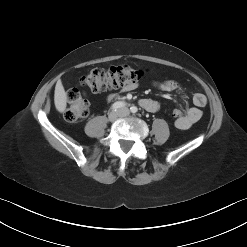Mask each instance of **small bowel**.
Instances as JSON below:
<instances>
[{"label": "small bowel", "instance_id": "small-bowel-1", "mask_svg": "<svg viewBox=\"0 0 247 247\" xmlns=\"http://www.w3.org/2000/svg\"><path fill=\"white\" fill-rule=\"evenodd\" d=\"M154 86L163 92H172L179 89V84L173 80H166L162 82H155ZM137 84H133L123 88V92H128L134 90ZM115 94L110 95L108 98L111 100L115 98ZM193 106L188 108L186 113L176 119L175 126L178 129L186 130L189 129L193 124H195L202 116L201 108L207 103L206 96L202 93H194L192 95ZM140 105L149 112H156L160 108V104L152 99H142L140 100Z\"/></svg>", "mask_w": 247, "mask_h": 247}]
</instances>
